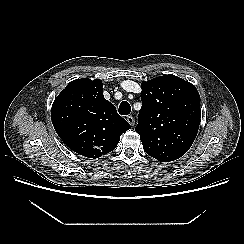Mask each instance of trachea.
Here are the masks:
<instances>
[{"label":"trachea","mask_w":244,"mask_h":244,"mask_svg":"<svg viewBox=\"0 0 244 244\" xmlns=\"http://www.w3.org/2000/svg\"><path fill=\"white\" fill-rule=\"evenodd\" d=\"M118 111H119V114H121V115H128L131 112V106L128 102L123 101V102H121Z\"/></svg>","instance_id":"3493384b"}]
</instances>
